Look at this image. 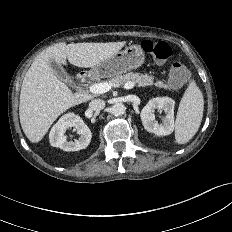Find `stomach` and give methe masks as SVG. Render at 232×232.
<instances>
[{
	"instance_id": "1",
	"label": "stomach",
	"mask_w": 232,
	"mask_h": 232,
	"mask_svg": "<svg viewBox=\"0 0 232 232\" xmlns=\"http://www.w3.org/2000/svg\"><path fill=\"white\" fill-rule=\"evenodd\" d=\"M144 59L145 54L141 47L130 44L125 49L116 52L109 59L93 66L90 73L103 78L121 75L140 67Z\"/></svg>"
}]
</instances>
